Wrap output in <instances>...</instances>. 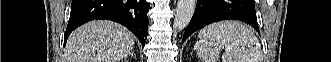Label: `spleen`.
Here are the masks:
<instances>
[{
  "label": "spleen",
  "mask_w": 331,
  "mask_h": 62,
  "mask_svg": "<svg viewBox=\"0 0 331 62\" xmlns=\"http://www.w3.org/2000/svg\"><path fill=\"white\" fill-rule=\"evenodd\" d=\"M197 55L203 62H216L225 48L222 62H261L259 41L251 30L238 21L211 24L198 34Z\"/></svg>",
  "instance_id": "spleen-1"
}]
</instances>
